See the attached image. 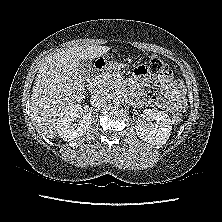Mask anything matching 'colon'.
I'll list each match as a JSON object with an SVG mask.
<instances>
[{
  "label": "colon",
  "mask_w": 222,
  "mask_h": 222,
  "mask_svg": "<svg viewBox=\"0 0 222 222\" xmlns=\"http://www.w3.org/2000/svg\"><path fill=\"white\" fill-rule=\"evenodd\" d=\"M99 63H102V60L98 61ZM149 63H150V66L147 67L145 65H141V66H138L134 72H137L139 74H146L150 71H153V72H156V73H162L164 72L166 69V65L164 63V61L157 55H152L150 57V60H149ZM151 73V72H150ZM182 119V115L180 112H175L173 115H172V121L174 123H179Z\"/></svg>",
  "instance_id": "5ec220e1"
}]
</instances>
